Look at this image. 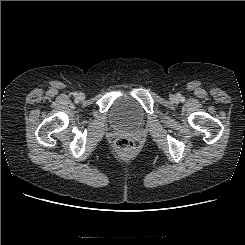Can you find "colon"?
<instances>
[{"mask_svg":"<svg viewBox=\"0 0 245 245\" xmlns=\"http://www.w3.org/2000/svg\"><path fill=\"white\" fill-rule=\"evenodd\" d=\"M116 147L123 152H129L133 149L134 143L129 138H119L115 142Z\"/></svg>","mask_w":245,"mask_h":245,"instance_id":"1","label":"colon"}]
</instances>
